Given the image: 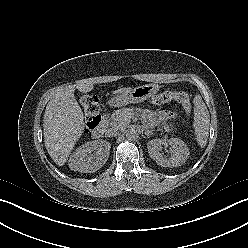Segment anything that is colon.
<instances>
[{
  "label": "colon",
  "mask_w": 248,
  "mask_h": 248,
  "mask_svg": "<svg viewBox=\"0 0 248 248\" xmlns=\"http://www.w3.org/2000/svg\"><path fill=\"white\" fill-rule=\"evenodd\" d=\"M175 100L179 102L187 111H191V102L189 95L182 91H165L153 97L155 104H163ZM81 104L85 112V122L88 129H93L101 118L99 100L95 95H83Z\"/></svg>",
  "instance_id": "colon-1"
}]
</instances>
